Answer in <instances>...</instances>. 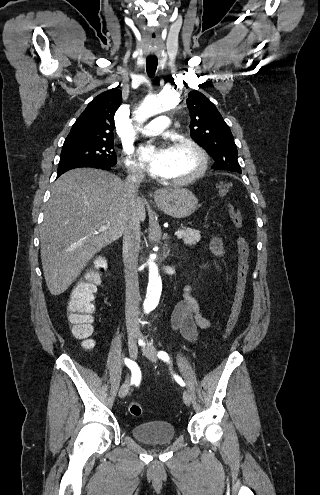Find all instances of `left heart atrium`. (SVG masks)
I'll return each mask as SVG.
<instances>
[{
	"instance_id": "obj_1",
	"label": "left heart atrium",
	"mask_w": 320,
	"mask_h": 495,
	"mask_svg": "<svg viewBox=\"0 0 320 495\" xmlns=\"http://www.w3.org/2000/svg\"><path fill=\"white\" fill-rule=\"evenodd\" d=\"M141 159L144 161L151 174L166 177L170 163L168 148L157 149L151 155H147L144 151H142Z\"/></svg>"
}]
</instances>
